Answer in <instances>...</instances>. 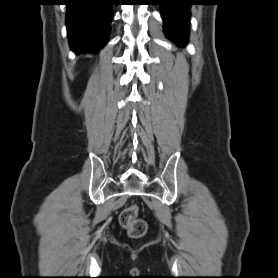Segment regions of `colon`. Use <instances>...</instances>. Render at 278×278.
Listing matches in <instances>:
<instances>
[{"instance_id": "1", "label": "colon", "mask_w": 278, "mask_h": 278, "mask_svg": "<svg viewBox=\"0 0 278 278\" xmlns=\"http://www.w3.org/2000/svg\"><path fill=\"white\" fill-rule=\"evenodd\" d=\"M139 208L132 204L125 208L120 214V224L133 237H141L146 233V222L138 217Z\"/></svg>"}]
</instances>
